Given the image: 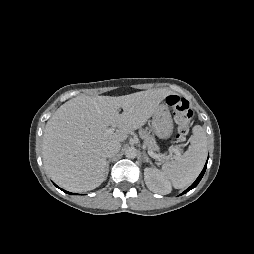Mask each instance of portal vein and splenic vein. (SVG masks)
<instances>
[{"label":"portal vein and splenic vein","instance_id":"18ae733b","mask_svg":"<svg viewBox=\"0 0 254 254\" xmlns=\"http://www.w3.org/2000/svg\"><path fill=\"white\" fill-rule=\"evenodd\" d=\"M114 130H115L114 127H111V128H109V129L106 130V134H111V133L114 132ZM172 152L175 153V157H176V158H179L180 155H181L178 148L172 149ZM148 154H149L152 158H155V159H158V160H161V159L164 158L163 156L154 154V153H153L152 151H150L149 149H148Z\"/></svg>","mask_w":254,"mask_h":254}]
</instances>
